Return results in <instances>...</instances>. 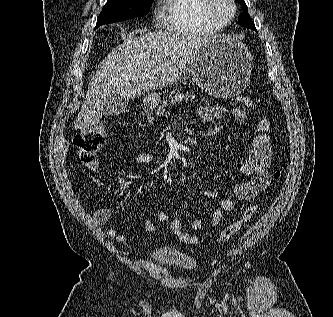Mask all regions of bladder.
I'll return each instance as SVG.
<instances>
[{"mask_svg": "<svg viewBox=\"0 0 333 317\" xmlns=\"http://www.w3.org/2000/svg\"><path fill=\"white\" fill-rule=\"evenodd\" d=\"M151 260L158 265L178 267L192 272L197 267V260L190 254L172 247L155 248L150 253Z\"/></svg>", "mask_w": 333, "mask_h": 317, "instance_id": "obj_1", "label": "bladder"}]
</instances>
